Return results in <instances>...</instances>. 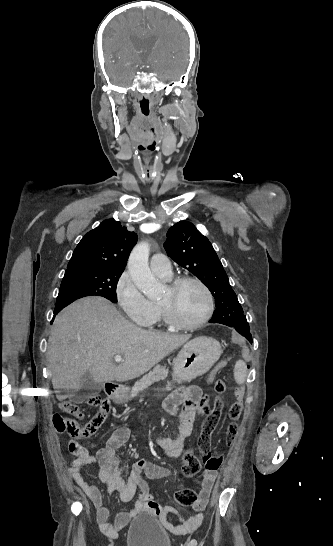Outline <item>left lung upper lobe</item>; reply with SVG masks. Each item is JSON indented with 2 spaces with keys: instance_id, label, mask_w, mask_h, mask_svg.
<instances>
[{
  "instance_id": "5c2ea615",
  "label": "left lung upper lobe",
  "mask_w": 333,
  "mask_h": 546,
  "mask_svg": "<svg viewBox=\"0 0 333 546\" xmlns=\"http://www.w3.org/2000/svg\"><path fill=\"white\" fill-rule=\"evenodd\" d=\"M164 248L169 257L209 288L216 306L212 318L230 326L247 322L212 244L192 223L180 221L172 226L167 232Z\"/></svg>"
}]
</instances>
